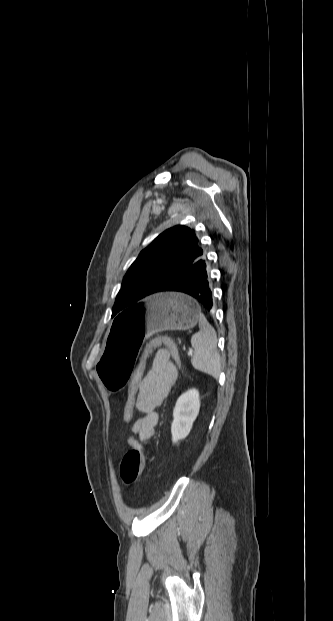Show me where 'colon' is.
Here are the masks:
<instances>
[{
    "label": "colon",
    "instance_id": "5ec220e1",
    "mask_svg": "<svg viewBox=\"0 0 333 621\" xmlns=\"http://www.w3.org/2000/svg\"><path fill=\"white\" fill-rule=\"evenodd\" d=\"M165 344L169 349L173 359L179 363V354L175 345L165 338L154 339L146 349L144 356L136 369L132 372L129 380L128 393L123 409L125 421H131L136 410V399L141 382L144 377L145 362L151 351L156 346ZM145 466L143 454L138 449L129 450L122 458L120 463V477L124 484L130 485L136 482L141 476Z\"/></svg>",
    "mask_w": 333,
    "mask_h": 621
}]
</instances>
